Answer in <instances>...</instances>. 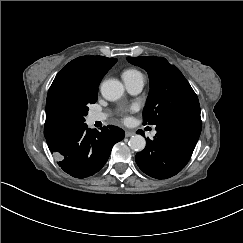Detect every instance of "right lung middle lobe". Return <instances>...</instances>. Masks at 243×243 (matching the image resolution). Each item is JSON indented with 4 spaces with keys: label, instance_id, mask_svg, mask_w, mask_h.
Masks as SVG:
<instances>
[{
    "label": "right lung middle lobe",
    "instance_id": "1",
    "mask_svg": "<svg viewBox=\"0 0 243 243\" xmlns=\"http://www.w3.org/2000/svg\"><path fill=\"white\" fill-rule=\"evenodd\" d=\"M98 90H73L60 95L53 106V117L59 127L81 124L88 105L97 101Z\"/></svg>",
    "mask_w": 243,
    "mask_h": 243
}]
</instances>
